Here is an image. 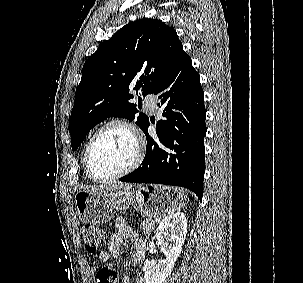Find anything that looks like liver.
Returning a JSON list of instances; mask_svg holds the SVG:
<instances>
[{"label": "liver", "mask_w": 303, "mask_h": 283, "mask_svg": "<svg viewBox=\"0 0 303 283\" xmlns=\"http://www.w3.org/2000/svg\"><path fill=\"white\" fill-rule=\"evenodd\" d=\"M130 187H132V185L128 183L109 182L97 186H86V187H82L81 189L91 194H103L106 192H110L122 188H130Z\"/></svg>", "instance_id": "obj_1"}]
</instances>
